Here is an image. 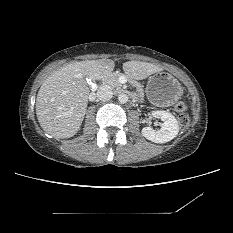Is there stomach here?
Listing matches in <instances>:
<instances>
[{"label":"stomach","instance_id":"stomach-1","mask_svg":"<svg viewBox=\"0 0 233 233\" xmlns=\"http://www.w3.org/2000/svg\"><path fill=\"white\" fill-rule=\"evenodd\" d=\"M146 94L151 102L169 106L181 97L182 87L171 74L160 71L149 78Z\"/></svg>","mask_w":233,"mask_h":233}]
</instances>
